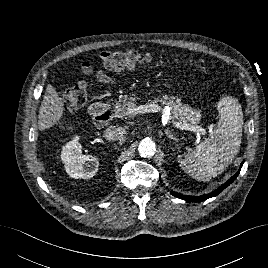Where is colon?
Masks as SVG:
<instances>
[{"label": "colon", "instance_id": "colon-1", "mask_svg": "<svg viewBox=\"0 0 268 268\" xmlns=\"http://www.w3.org/2000/svg\"><path fill=\"white\" fill-rule=\"evenodd\" d=\"M152 56L148 52L137 50L105 51L100 54V65L110 70L133 69L151 61ZM88 87L85 83H78L60 92L59 96L65 106L75 111L87 101Z\"/></svg>", "mask_w": 268, "mask_h": 268}]
</instances>
